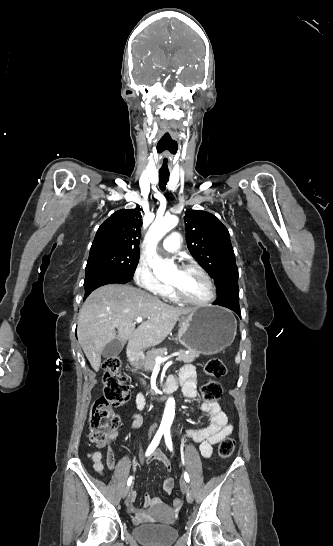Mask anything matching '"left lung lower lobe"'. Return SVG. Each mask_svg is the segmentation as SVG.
Listing matches in <instances>:
<instances>
[{"label": "left lung lower lobe", "mask_w": 333, "mask_h": 546, "mask_svg": "<svg viewBox=\"0 0 333 546\" xmlns=\"http://www.w3.org/2000/svg\"><path fill=\"white\" fill-rule=\"evenodd\" d=\"M213 304L226 307L234 311L238 316L241 317V311L239 307V288L229 290L227 296L221 299H217L213 302Z\"/></svg>", "instance_id": "0a47b994"}]
</instances>
